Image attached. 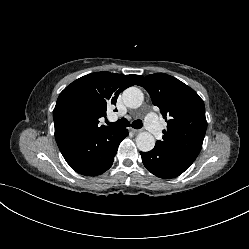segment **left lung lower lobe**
Here are the masks:
<instances>
[{
    "mask_svg": "<svg viewBox=\"0 0 249 249\" xmlns=\"http://www.w3.org/2000/svg\"><path fill=\"white\" fill-rule=\"evenodd\" d=\"M144 166L157 177L170 179L186 171L198 155L183 151L154 147L140 152Z\"/></svg>",
    "mask_w": 249,
    "mask_h": 249,
    "instance_id": "left-lung-lower-lobe-1",
    "label": "left lung lower lobe"
}]
</instances>
